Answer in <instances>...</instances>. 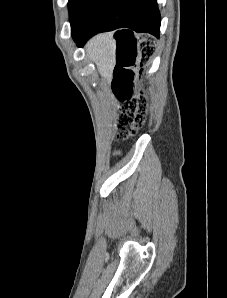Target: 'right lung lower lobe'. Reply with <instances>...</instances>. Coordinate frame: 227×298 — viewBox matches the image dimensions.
<instances>
[{"mask_svg": "<svg viewBox=\"0 0 227 298\" xmlns=\"http://www.w3.org/2000/svg\"><path fill=\"white\" fill-rule=\"evenodd\" d=\"M161 17L157 0H110L77 33L72 34L77 46L83 47L93 35L120 29L115 32L117 40V64L126 66V48L134 34L150 33L159 37ZM124 74L120 67L114 69V79Z\"/></svg>", "mask_w": 227, "mask_h": 298, "instance_id": "right-lung-lower-lobe-1", "label": "right lung lower lobe"}]
</instances>
